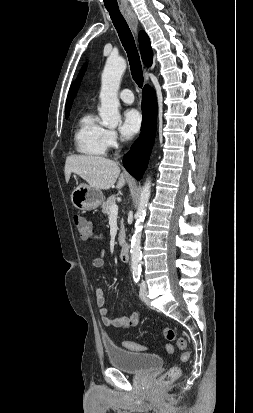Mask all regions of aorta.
<instances>
[{
    "label": "aorta",
    "instance_id": "1",
    "mask_svg": "<svg viewBox=\"0 0 253 413\" xmlns=\"http://www.w3.org/2000/svg\"><path fill=\"white\" fill-rule=\"evenodd\" d=\"M126 69V61L122 57H110L107 59L102 76L99 114L102 125L115 128L121 121L119 112L118 90L123 73ZM151 193V181L147 179L140 193V200L136 212L135 231L131 239V269L137 273L141 271V235L143 222L146 215V207Z\"/></svg>",
    "mask_w": 253,
    "mask_h": 413
}]
</instances>
